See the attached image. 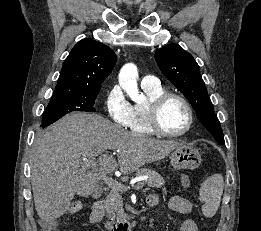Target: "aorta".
<instances>
[{
    "label": "aorta",
    "mask_w": 261,
    "mask_h": 231,
    "mask_svg": "<svg viewBox=\"0 0 261 231\" xmlns=\"http://www.w3.org/2000/svg\"><path fill=\"white\" fill-rule=\"evenodd\" d=\"M137 78V67L132 63H128L121 68L118 80L120 86L132 101L141 102L145 99V96L138 90Z\"/></svg>",
    "instance_id": "1"
}]
</instances>
